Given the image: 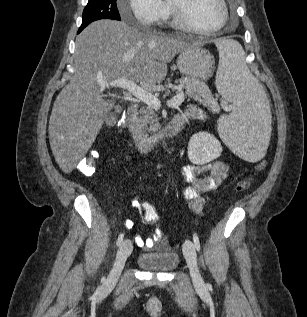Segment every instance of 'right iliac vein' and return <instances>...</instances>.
Listing matches in <instances>:
<instances>
[{
	"instance_id": "right-iliac-vein-1",
	"label": "right iliac vein",
	"mask_w": 307,
	"mask_h": 317,
	"mask_svg": "<svg viewBox=\"0 0 307 317\" xmlns=\"http://www.w3.org/2000/svg\"><path fill=\"white\" fill-rule=\"evenodd\" d=\"M132 252V243L129 240H125L124 242H122V244L120 245L118 252H117V256H116V260L114 263V266L107 278V284L108 285H115L121 275V272L123 270V267L125 265V262L127 260V258L129 257V255Z\"/></svg>"
}]
</instances>
